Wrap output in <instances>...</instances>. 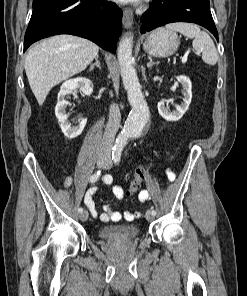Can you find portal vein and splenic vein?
<instances>
[{
  "mask_svg": "<svg viewBox=\"0 0 247 296\" xmlns=\"http://www.w3.org/2000/svg\"><path fill=\"white\" fill-rule=\"evenodd\" d=\"M196 54H199V52H197ZM187 62V55H184L182 57V63L185 64Z\"/></svg>",
  "mask_w": 247,
  "mask_h": 296,
  "instance_id": "portal-vein-and-splenic-vein-1",
  "label": "portal vein and splenic vein"
}]
</instances>
